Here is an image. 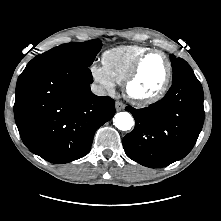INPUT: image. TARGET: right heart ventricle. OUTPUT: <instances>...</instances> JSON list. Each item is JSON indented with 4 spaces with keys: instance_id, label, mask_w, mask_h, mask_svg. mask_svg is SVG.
Returning <instances> with one entry per match:
<instances>
[{
    "instance_id": "right-heart-ventricle-1",
    "label": "right heart ventricle",
    "mask_w": 221,
    "mask_h": 221,
    "mask_svg": "<svg viewBox=\"0 0 221 221\" xmlns=\"http://www.w3.org/2000/svg\"><path fill=\"white\" fill-rule=\"evenodd\" d=\"M149 49L142 45H122L110 48L102 54V65L115 83L123 84L137 58Z\"/></svg>"
}]
</instances>
